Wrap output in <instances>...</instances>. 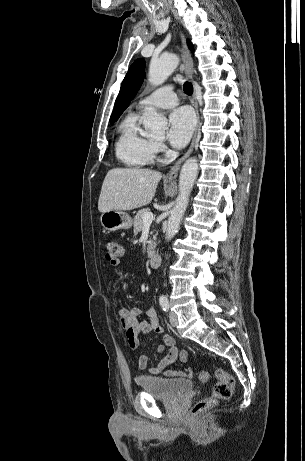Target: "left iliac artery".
Returning <instances> with one entry per match:
<instances>
[{"mask_svg":"<svg viewBox=\"0 0 305 461\" xmlns=\"http://www.w3.org/2000/svg\"><path fill=\"white\" fill-rule=\"evenodd\" d=\"M159 302H160V305H161V307L163 308V310H164V311H168V309H169V302H168L167 296L161 295L160 298H159Z\"/></svg>","mask_w":305,"mask_h":461,"instance_id":"1","label":"left iliac artery"}]
</instances>
